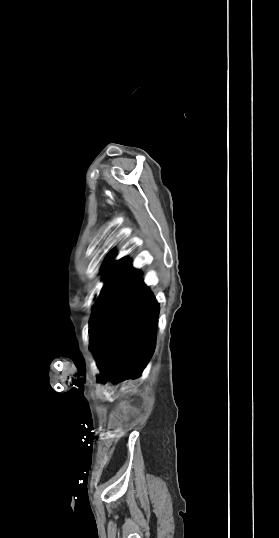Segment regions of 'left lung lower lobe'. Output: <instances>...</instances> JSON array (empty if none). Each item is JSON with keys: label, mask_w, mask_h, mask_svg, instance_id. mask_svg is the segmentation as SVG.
<instances>
[{"label": "left lung lower lobe", "mask_w": 279, "mask_h": 538, "mask_svg": "<svg viewBox=\"0 0 279 538\" xmlns=\"http://www.w3.org/2000/svg\"><path fill=\"white\" fill-rule=\"evenodd\" d=\"M158 314L141 272L128 261L105 283L90 319L91 350L101 382L141 375L154 353Z\"/></svg>", "instance_id": "1"}]
</instances>
